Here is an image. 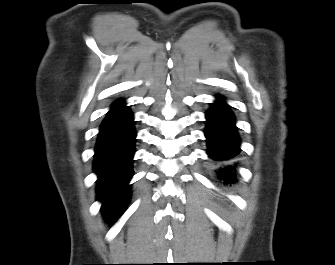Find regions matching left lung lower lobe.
Listing matches in <instances>:
<instances>
[{
	"mask_svg": "<svg viewBox=\"0 0 335 265\" xmlns=\"http://www.w3.org/2000/svg\"><path fill=\"white\" fill-rule=\"evenodd\" d=\"M205 136L210 158L219 162L218 175L227 182L234 179L232 165L228 164L240 152V139L235 126V118L223 99H217L206 113Z\"/></svg>",
	"mask_w": 335,
	"mask_h": 265,
	"instance_id": "1",
	"label": "left lung lower lobe"
}]
</instances>
